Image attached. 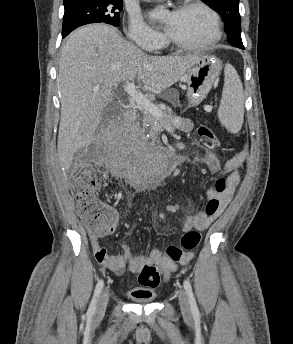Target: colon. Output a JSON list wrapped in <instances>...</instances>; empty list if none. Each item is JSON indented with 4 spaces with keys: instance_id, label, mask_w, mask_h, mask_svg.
<instances>
[{
    "instance_id": "obj_1",
    "label": "colon",
    "mask_w": 293,
    "mask_h": 344,
    "mask_svg": "<svg viewBox=\"0 0 293 344\" xmlns=\"http://www.w3.org/2000/svg\"><path fill=\"white\" fill-rule=\"evenodd\" d=\"M199 135L210 145L216 146L219 141L213 130L200 127ZM100 182L96 173L91 169L82 171L73 184V195L76 199L78 215L91 237H100L113 232L117 215L115 211L102 204L96 196ZM227 190V180L220 178L215 185V191L223 194ZM219 208V201L213 198L208 201L205 211L208 215H214ZM201 240V234L197 230L185 232L179 243L167 247L164 253L165 262H179L186 253L194 251ZM162 269L156 265H146L139 274V283L147 288H156L161 282Z\"/></svg>"
}]
</instances>
